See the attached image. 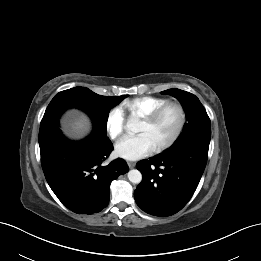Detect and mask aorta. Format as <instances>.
Segmentation results:
<instances>
[{
  "label": "aorta",
  "mask_w": 261,
  "mask_h": 261,
  "mask_svg": "<svg viewBox=\"0 0 261 261\" xmlns=\"http://www.w3.org/2000/svg\"><path fill=\"white\" fill-rule=\"evenodd\" d=\"M127 128L131 131L137 132V124L134 120H129L127 123ZM128 179L133 184H139L142 181V174L139 170L133 169L130 170L127 174Z\"/></svg>",
  "instance_id": "obj_1"
}]
</instances>
